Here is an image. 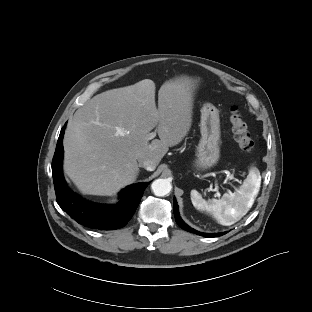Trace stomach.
<instances>
[{
	"instance_id": "0dacf381",
	"label": "stomach",
	"mask_w": 312,
	"mask_h": 312,
	"mask_svg": "<svg viewBox=\"0 0 312 312\" xmlns=\"http://www.w3.org/2000/svg\"><path fill=\"white\" fill-rule=\"evenodd\" d=\"M201 139L196 150L194 166L205 170L214 166L220 157V118L219 110L211 103H206L201 109L200 120Z\"/></svg>"
}]
</instances>
